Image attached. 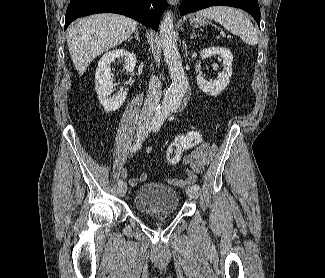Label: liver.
Segmentation results:
<instances>
[{
    "label": "liver",
    "mask_w": 325,
    "mask_h": 278,
    "mask_svg": "<svg viewBox=\"0 0 325 278\" xmlns=\"http://www.w3.org/2000/svg\"><path fill=\"white\" fill-rule=\"evenodd\" d=\"M137 25L129 17L112 13L91 15L71 25L67 44L78 74L82 76L94 58L125 41Z\"/></svg>",
    "instance_id": "6515ba94"
}]
</instances>
